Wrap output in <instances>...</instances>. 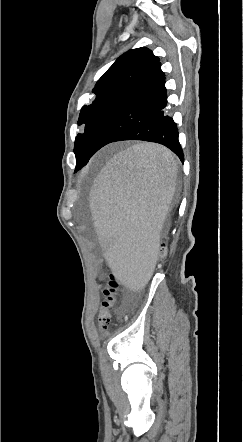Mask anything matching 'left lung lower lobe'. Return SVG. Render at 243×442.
<instances>
[{
  "instance_id": "obj_1",
  "label": "left lung lower lobe",
  "mask_w": 243,
  "mask_h": 442,
  "mask_svg": "<svg viewBox=\"0 0 243 442\" xmlns=\"http://www.w3.org/2000/svg\"><path fill=\"white\" fill-rule=\"evenodd\" d=\"M166 91L165 75L159 63L105 118L84 155L83 163L86 164L103 146L123 140L160 143L184 162L177 126L164 111Z\"/></svg>"
}]
</instances>
